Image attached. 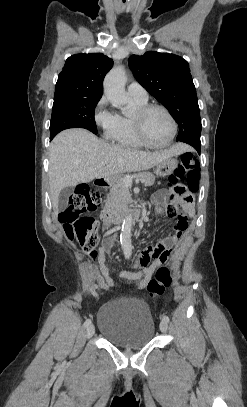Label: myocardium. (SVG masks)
<instances>
[{
	"mask_svg": "<svg viewBox=\"0 0 247 407\" xmlns=\"http://www.w3.org/2000/svg\"><path fill=\"white\" fill-rule=\"evenodd\" d=\"M152 110H161L167 115L172 123V134L168 141L164 144H153L149 142L145 137L143 130V121L145 116ZM131 121L136 138L140 141L141 144L152 149H163L170 146L178 132V123L173 114L166 107L159 104H146L142 107L136 108L133 115L131 116Z\"/></svg>",
	"mask_w": 247,
	"mask_h": 407,
	"instance_id": "obj_1",
	"label": "myocardium"
}]
</instances>
